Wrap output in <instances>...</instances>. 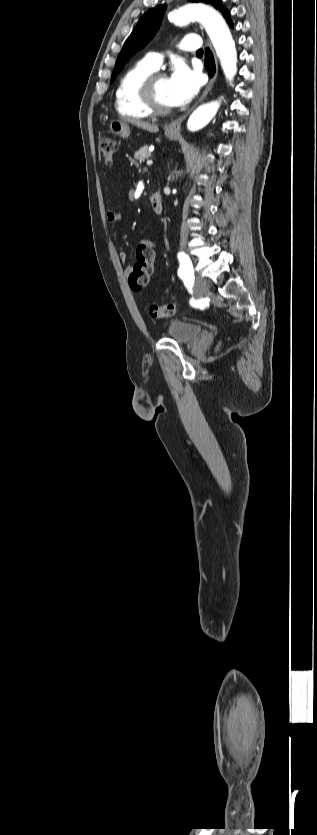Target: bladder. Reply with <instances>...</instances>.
Returning <instances> with one entry per match:
<instances>
[{"mask_svg":"<svg viewBox=\"0 0 317 835\" xmlns=\"http://www.w3.org/2000/svg\"><path fill=\"white\" fill-rule=\"evenodd\" d=\"M201 331L200 325L181 319L171 320L166 328L168 337L181 344L193 341L200 335Z\"/></svg>","mask_w":317,"mask_h":835,"instance_id":"bladder-1","label":"bladder"}]
</instances>
